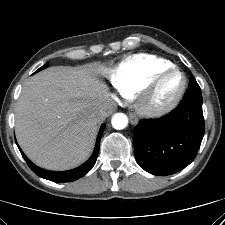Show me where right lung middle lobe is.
<instances>
[{
    "mask_svg": "<svg viewBox=\"0 0 225 225\" xmlns=\"http://www.w3.org/2000/svg\"><path fill=\"white\" fill-rule=\"evenodd\" d=\"M47 66H48V63H47V64H45L44 66H42L41 68H39L36 72H38V71H41V70L45 69ZM36 72H35V73H36Z\"/></svg>",
    "mask_w": 225,
    "mask_h": 225,
    "instance_id": "obj_1",
    "label": "right lung middle lobe"
}]
</instances>
